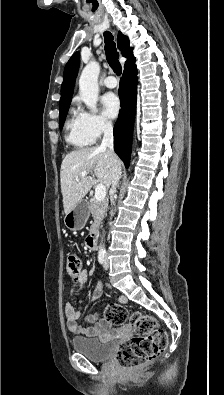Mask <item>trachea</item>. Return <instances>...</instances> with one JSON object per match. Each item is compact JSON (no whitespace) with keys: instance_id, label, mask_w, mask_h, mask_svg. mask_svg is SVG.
Masks as SVG:
<instances>
[{"instance_id":"trachea-1","label":"trachea","mask_w":224,"mask_h":395,"mask_svg":"<svg viewBox=\"0 0 224 395\" xmlns=\"http://www.w3.org/2000/svg\"><path fill=\"white\" fill-rule=\"evenodd\" d=\"M104 41H105V53L107 61L110 67L117 75H121L122 68L121 64L119 63V53L115 47V43L113 41V36L110 32H104Z\"/></svg>"}]
</instances>
